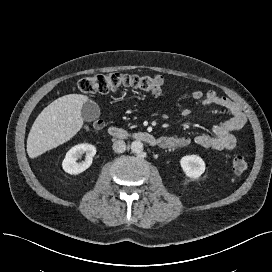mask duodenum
I'll use <instances>...</instances> for the list:
<instances>
[{
  "label": "duodenum",
  "instance_id": "obj_1",
  "mask_svg": "<svg viewBox=\"0 0 272 272\" xmlns=\"http://www.w3.org/2000/svg\"><path fill=\"white\" fill-rule=\"evenodd\" d=\"M108 133L109 136L114 139H137L151 146L159 145L158 139L147 131L128 132L119 127L113 126L109 128Z\"/></svg>",
  "mask_w": 272,
  "mask_h": 272
}]
</instances>
